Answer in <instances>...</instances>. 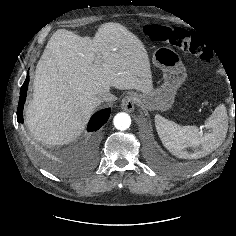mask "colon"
Here are the masks:
<instances>
[{"mask_svg":"<svg viewBox=\"0 0 236 236\" xmlns=\"http://www.w3.org/2000/svg\"><path fill=\"white\" fill-rule=\"evenodd\" d=\"M143 32L149 38L188 51L204 62H210L212 49L197 35L179 27L147 24Z\"/></svg>","mask_w":236,"mask_h":236,"instance_id":"colon-1","label":"colon"}]
</instances>
